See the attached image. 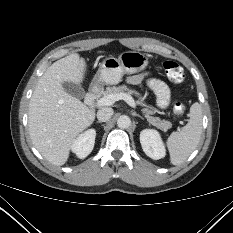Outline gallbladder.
I'll use <instances>...</instances> for the list:
<instances>
[{
  "label": "gallbladder",
  "instance_id": "gallbladder-1",
  "mask_svg": "<svg viewBox=\"0 0 233 233\" xmlns=\"http://www.w3.org/2000/svg\"><path fill=\"white\" fill-rule=\"evenodd\" d=\"M62 85L64 90L73 97L77 99H83L85 97V91L80 85L72 82H64Z\"/></svg>",
  "mask_w": 233,
  "mask_h": 233
}]
</instances>
